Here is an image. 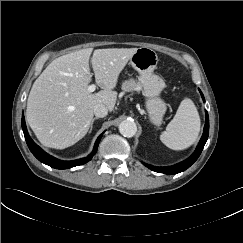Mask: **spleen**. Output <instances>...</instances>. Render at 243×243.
<instances>
[{"label": "spleen", "mask_w": 243, "mask_h": 243, "mask_svg": "<svg viewBox=\"0 0 243 243\" xmlns=\"http://www.w3.org/2000/svg\"><path fill=\"white\" fill-rule=\"evenodd\" d=\"M200 124V117L193 101L184 98L166 131L160 135V140L170 149L184 150L197 140Z\"/></svg>", "instance_id": "3e777b00"}]
</instances>
